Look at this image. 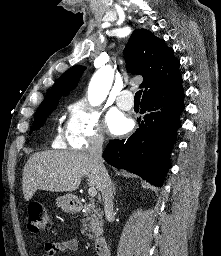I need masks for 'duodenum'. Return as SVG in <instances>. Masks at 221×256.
Returning a JSON list of instances; mask_svg holds the SVG:
<instances>
[{"label":"duodenum","mask_w":221,"mask_h":256,"mask_svg":"<svg viewBox=\"0 0 221 256\" xmlns=\"http://www.w3.org/2000/svg\"><path fill=\"white\" fill-rule=\"evenodd\" d=\"M72 209L76 212L83 208V203L79 200H74L71 202ZM94 249L98 256H107L108 244L107 240L103 235H100L94 240Z\"/></svg>","instance_id":"410a0bca"}]
</instances>
